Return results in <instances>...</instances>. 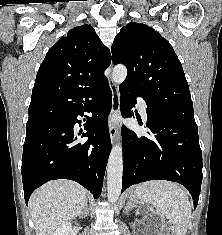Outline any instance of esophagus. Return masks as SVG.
I'll use <instances>...</instances> for the list:
<instances>
[{
	"label": "esophagus",
	"mask_w": 222,
	"mask_h": 235,
	"mask_svg": "<svg viewBox=\"0 0 222 235\" xmlns=\"http://www.w3.org/2000/svg\"><path fill=\"white\" fill-rule=\"evenodd\" d=\"M110 88L112 91V107L110 113L112 120L109 124V133L111 142L115 143L118 136V125L116 122L113 121V118L119 113L120 110V94L116 84L110 83Z\"/></svg>",
	"instance_id": "34e87169"
}]
</instances>
